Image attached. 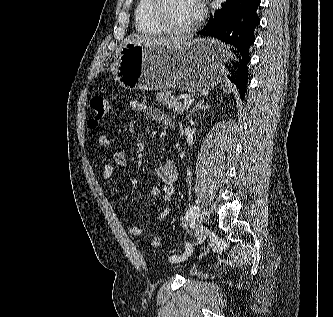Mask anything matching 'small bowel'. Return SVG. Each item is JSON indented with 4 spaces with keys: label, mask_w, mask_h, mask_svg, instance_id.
I'll return each mask as SVG.
<instances>
[{
    "label": "small bowel",
    "mask_w": 333,
    "mask_h": 317,
    "mask_svg": "<svg viewBox=\"0 0 333 317\" xmlns=\"http://www.w3.org/2000/svg\"><path fill=\"white\" fill-rule=\"evenodd\" d=\"M129 107L135 112L142 113L147 118L166 125H171L170 118L159 108L149 106L138 99H131L129 101ZM98 144L105 149L112 147V140L104 133H100L97 136ZM126 158L123 152H113L111 155V161L106 163L102 169V177L105 181H109L116 168L125 165ZM157 177L160 180V185L153 187L150 190L151 196H161L164 203L163 209L151 222L152 224L163 221L168 217L172 209V200L175 193V182L178 177V170L173 160H166L160 164L156 169ZM126 232L130 235H139L143 232V228L136 225L126 226Z\"/></svg>",
    "instance_id": "small-bowel-1"
}]
</instances>
